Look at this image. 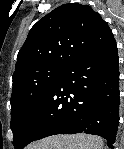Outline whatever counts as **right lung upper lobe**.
I'll return each instance as SVG.
<instances>
[{"instance_id":"cb5924a9","label":"right lung upper lobe","mask_w":124,"mask_h":149,"mask_svg":"<svg viewBox=\"0 0 124 149\" xmlns=\"http://www.w3.org/2000/svg\"><path fill=\"white\" fill-rule=\"evenodd\" d=\"M112 39L107 23L89 5L63 4L30 30L17 56L13 83L39 67L64 68Z\"/></svg>"}]
</instances>
